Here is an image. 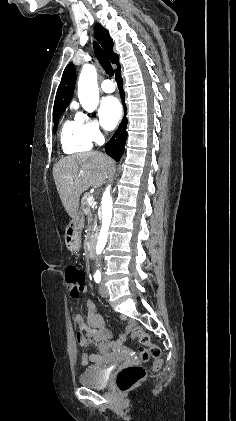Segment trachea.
<instances>
[{"mask_svg":"<svg viewBox=\"0 0 236 421\" xmlns=\"http://www.w3.org/2000/svg\"><path fill=\"white\" fill-rule=\"evenodd\" d=\"M93 47H94L95 56L98 59L102 68L105 70V72L109 76H113L114 71H113V68L111 66V63H110L109 58L107 57L106 53L102 50V48L95 41H93Z\"/></svg>","mask_w":236,"mask_h":421,"instance_id":"1","label":"trachea"}]
</instances>
